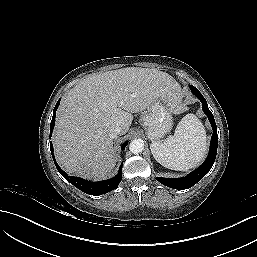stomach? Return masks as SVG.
<instances>
[{"mask_svg":"<svg viewBox=\"0 0 257 257\" xmlns=\"http://www.w3.org/2000/svg\"><path fill=\"white\" fill-rule=\"evenodd\" d=\"M140 123L151 141L163 137L173 125L171 112L160 99H155L147 106L140 116Z\"/></svg>","mask_w":257,"mask_h":257,"instance_id":"obj_1","label":"stomach"}]
</instances>
